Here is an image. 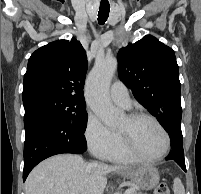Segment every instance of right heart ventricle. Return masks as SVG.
I'll return each instance as SVG.
<instances>
[{"mask_svg":"<svg viewBox=\"0 0 201 194\" xmlns=\"http://www.w3.org/2000/svg\"><path fill=\"white\" fill-rule=\"evenodd\" d=\"M117 141L113 149L105 156V159L115 163H132L139 159L132 156L124 147L119 132L116 133Z\"/></svg>","mask_w":201,"mask_h":194,"instance_id":"obj_1","label":"right heart ventricle"}]
</instances>
